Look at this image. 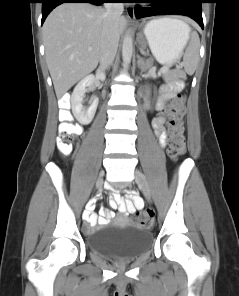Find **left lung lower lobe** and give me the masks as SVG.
<instances>
[{
    "label": "left lung lower lobe",
    "instance_id": "left-lung-lower-lobe-1",
    "mask_svg": "<svg viewBox=\"0 0 239 296\" xmlns=\"http://www.w3.org/2000/svg\"><path fill=\"white\" fill-rule=\"evenodd\" d=\"M148 3H155L150 8L135 7L137 18L155 15L179 14L192 18L203 29L202 6L204 0H153Z\"/></svg>",
    "mask_w": 239,
    "mask_h": 296
}]
</instances>
